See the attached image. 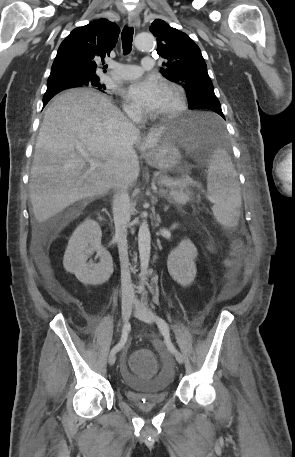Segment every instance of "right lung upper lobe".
I'll list each match as a JSON object with an SVG mask.
<instances>
[{
  "mask_svg": "<svg viewBox=\"0 0 295 457\" xmlns=\"http://www.w3.org/2000/svg\"><path fill=\"white\" fill-rule=\"evenodd\" d=\"M119 33V27L104 18L75 28L58 48L47 84L83 86L88 78L97 77L96 70L115 47Z\"/></svg>",
  "mask_w": 295,
  "mask_h": 457,
  "instance_id": "obj_1",
  "label": "right lung upper lobe"
}]
</instances>
